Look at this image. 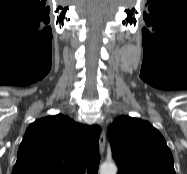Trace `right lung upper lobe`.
<instances>
[{
    "instance_id": "1",
    "label": "right lung upper lobe",
    "mask_w": 187,
    "mask_h": 174,
    "mask_svg": "<svg viewBox=\"0 0 187 174\" xmlns=\"http://www.w3.org/2000/svg\"><path fill=\"white\" fill-rule=\"evenodd\" d=\"M101 129L58 114L30 124L12 174H83Z\"/></svg>"
}]
</instances>
